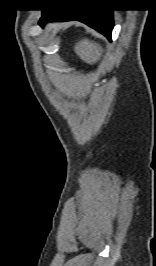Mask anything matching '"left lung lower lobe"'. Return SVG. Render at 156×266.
<instances>
[{"instance_id": "0a47b994", "label": "left lung lower lobe", "mask_w": 156, "mask_h": 266, "mask_svg": "<svg viewBox=\"0 0 156 266\" xmlns=\"http://www.w3.org/2000/svg\"><path fill=\"white\" fill-rule=\"evenodd\" d=\"M78 20L111 38L113 14L111 9H52L42 10L40 24L46 21Z\"/></svg>"}]
</instances>
